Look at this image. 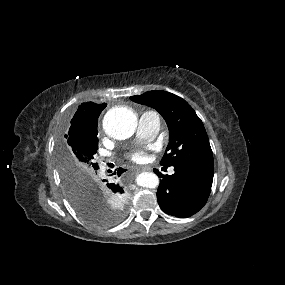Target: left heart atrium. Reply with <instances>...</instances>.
<instances>
[{
    "label": "left heart atrium",
    "mask_w": 285,
    "mask_h": 285,
    "mask_svg": "<svg viewBox=\"0 0 285 285\" xmlns=\"http://www.w3.org/2000/svg\"><path fill=\"white\" fill-rule=\"evenodd\" d=\"M130 158L134 161V162H143L146 160V153L143 150H137L134 151L130 154Z\"/></svg>",
    "instance_id": "obj_1"
}]
</instances>
